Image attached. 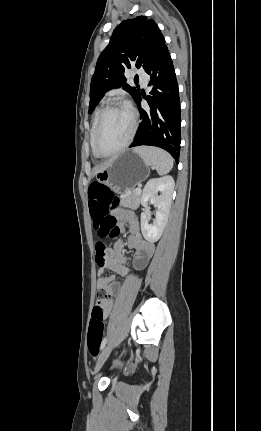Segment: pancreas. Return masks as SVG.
<instances>
[{"mask_svg": "<svg viewBox=\"0 0 261 431\" xmlns=\"http://www.w3.org/2000/svg\"><path fill=\"white\" fill-rule=\"evenodd\" d=\"M140 201L141 193H137L136 190H131L121 195L120 205L125 208L136 209L139 207Z\"/></svg>", "mask_w": 261, "mask_h": 431, "instance_id": "pancreas-1", "label": "pancreas"}]
</instances>
